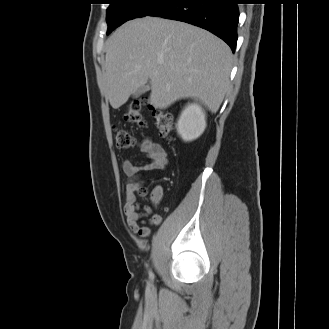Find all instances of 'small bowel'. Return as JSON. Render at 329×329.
Masks as SVG:
<instances>
[{
  "label": "small bowel",
  "instance_id": "1",
  "mask_svg": "<svg viewBox=\"0 0 329 329\" xmlns=\"http://www.w3.org/2000/svg\"><path fill=\"white\" fill-rule=\"evenodd\" d=\"M140 151L147 158V162L141 166L134 165L130 160L123 162L122 168L128 179L125 190L124 214L126 216L129 228L141 237L149 236L151 230L148 225H159L161 223L160 215H150L147 221L143 220L149 214V209L141 211L140 205L136 201L135 192L140 184L135 180L142 171H160L164 170L168 163V156L164 148L150 140L144 139L140 144ZM163 196V189L156 185L151 193V202L157 205ZM142 222V225L139 224Z\"/></svg>",
  "mask_w": 329,
  "mask_h": 329
}]
</instances>
